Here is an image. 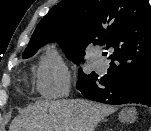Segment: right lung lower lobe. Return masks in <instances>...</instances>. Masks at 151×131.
I'll return each mask as SVG.
<instances>
[{"label": "right lung lower lobe", "mask_w": 151, "mask_h": 131, "mask_svg": "<svg viewBox=\"0 0 151 131\" xmlns=\"http://www.w3.org/2000/svg\"><path fill=\"white\" fill-rule=\"evenodd\" d=\"M77 88L87 99L97 102L151 106V71L106 74L103 77L79 76Z\"/></svg>", "instance_id": "obj_1"}]
</instances>
